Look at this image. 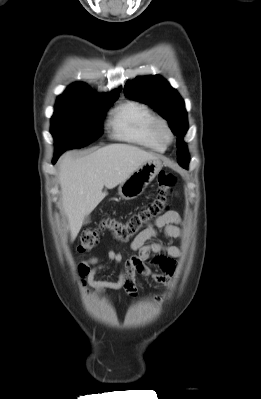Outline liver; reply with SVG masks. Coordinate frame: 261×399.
I'll list each match as a JSON object with an SVG mask.
<instances>
[{
	"mask_svg": "<svg viewBox=\"0 0 261 399\" xmlns=\"http://www.w3.org/2000/svg\"><path fill=\"white\" fill-rule=\"evenodd\" d=\"M158 157L136 146L111 144L78 159L68 153L60 161L59 183L68 218L71 241L77 237L84 218L104 199L103 187L112 189L137 168Z\"/></svg>",
	"mask_w": 261,
	"mask_h": 399,
	"instance_id": "1",
	"label": "liver"
}]
</instances>
